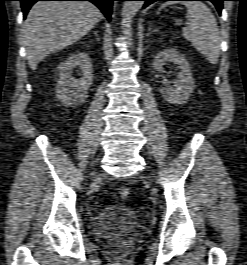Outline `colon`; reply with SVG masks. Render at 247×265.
<instances>
[{
	"label": "colon",
	"instance_id": "obj_1",
	"mask_svg": "<svg viewBox=\"0 0 247 265\" xmlns=\"http://www.w3.org/2000/svg\"><path fill=\"white\" fill-rule=\"evenodd\" d=\"M117 193L121 199H126L129 195V190L126 186H119L117 188Z\"/></svg>",
	"mask_w": 247,
	"mask_h": 265
}]
</instances>
